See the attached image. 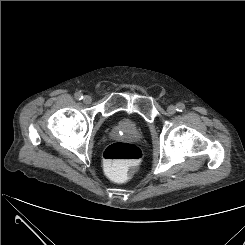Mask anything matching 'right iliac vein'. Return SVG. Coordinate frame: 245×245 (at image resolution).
Instances as JSON below:
<instances>
[{
	"label": "right iliac vein",
	"instance_id": "right-iliac-vein-1",
	"mask_svg": "<svg viewBox=\"0 0 245 245\" xmlns=\"http://www.w3.org/2000/svg\"><path fill=\"white\" fill-rule=\"evenodd\" d=\"M83 102H84L85 104H90V103L92 102V98H91L89 95H85V96L83 97Z\"/></svg>",
	"mask_w": 245,
	"mask_h": 245
}]
</instances>
